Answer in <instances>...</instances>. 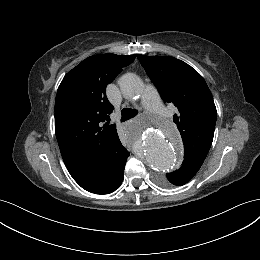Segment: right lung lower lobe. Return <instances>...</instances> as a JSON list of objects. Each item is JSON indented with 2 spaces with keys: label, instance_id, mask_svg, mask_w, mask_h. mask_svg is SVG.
I'll use <instances>...</instances> for the list:
<instances>
[{
  "label": "right lung lower lobe",
  "instance_id": "obj_1",
  "mask_svg": "<svg viewBox=\"0 0 260 260\" xmlns=\"http://www.w3.org/2000/svg\"><path fill=\"white\" fill-rule=\"evenodd\" d=\"M129 152L126 148L114 158L103 162L87 174L75 179L83 189L95 194L115 191L124 178V168Z\"/></svg>",
  "mask_w": 260,
  "mask_h": 260
}]
</instances>
